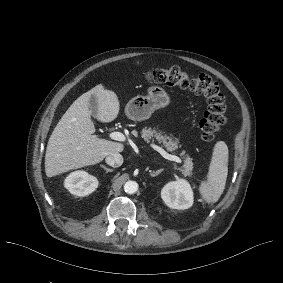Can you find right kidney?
I'll return each mask as SVG.
<instances>
[{
  "mask_svg": "<svg viewBox=\"0 0 283 283\" xmlns=\"http://www.w3.org/2000/svg\"><path fill=\"white\" fill-rule=\"evenodd\" d=\"M98 183L95 176L85 171H75L66 177L64 186L73 195L86 196L96 190Z\"/></svg>",
  "mask_w": 283,
  "mask_h": 283,
  "instance_id": "ca27d5eb",
  "label": "right kidney"
}]
</instances>
